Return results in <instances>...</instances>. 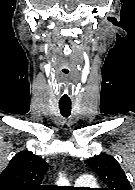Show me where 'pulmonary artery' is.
I'll return each mask as SVG.
<instances>
[{
	"label": "pulmonary artery",
	"instance_id": "obj_1",
	"mask_svg": "<svg viewBox=\"0 0 135 190\" xmlns=\"http://www.w3.org/2000/svg\"><path fill=\"white\" fill-rule=\"evenodd\" d=\"M91 182H92V178L88 175H81L76 180V184H78V185L89 184Z\"/></svg>",
	"mask_w": 135,
	"mask_h": 190
}]
</instances>
